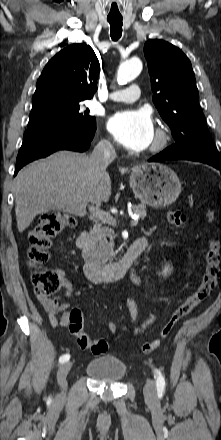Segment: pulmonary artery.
<instances>
[{
  "label": "pulmonary artery",
  "instance_id": "e3ab8cb5",
  "mask_svg": "<svg viewBox=\"0 0 221 440\" xmlns=\"http://www.w3.org/2000/svg\"><path fill=\"white\" fill-rule=\"evenodd\" d=\"M140 96V88L138 85L133 84L128 88L117 90L110 94L109 98L117 102H133Z\"/></svg>",
  "mask_w": 221,
  "mask_h": 440
}]
</instances>
